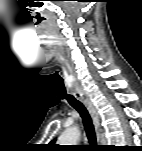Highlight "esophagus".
Masks as SVG:
<instances>
[{"label": "esophagus", "mask_w": 142, "mask_h": 151, "mask_svg": "<svg viewBox=\"0 0 142 151\" xmlns=\"http://www.w3.org/2000/svg\"><path fill=\"white\" fill-rule=\"evenodd\" d=\"M75 94L82 101V103L86 106V108L88 109L89 113L91 114V116L94 120L95 125L98 126L99 124H98V118H97L96 110H95L92 102L90 101V99L86 95V93L83 91L82 88L77 87Z\"/></svg>", "instance_id": "obj_1"}]
</instances>
